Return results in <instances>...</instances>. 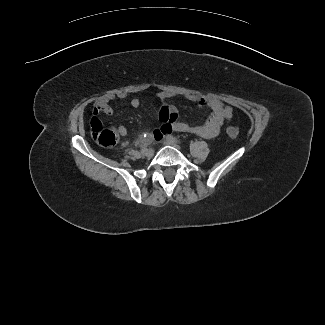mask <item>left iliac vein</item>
<instances>
[{"label":"left iliac vein","instance_id":"4c4485c4","mask_svg":"<svg viewBox=\"0 0 325 325\" xmlns=\"http://www.w3.org/2000/svg\"><path fill=\"white\" fill-rule=\"evenodd\" d=\"M163 143L165 145H169V146H172V147H175L176 149H181L180 145L170 139H168L167 137L165 138V140L163 141Z\"/></svg>","mask_w":325,"mask_h":325}]
</instances>
